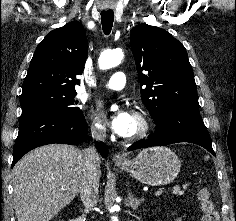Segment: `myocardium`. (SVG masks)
<instances>
[{
    "label": "myocardium",
    "mask_w": 236,
    "mask_h": 221,
    "mask_svg": "<svg viewBox=\"0 0 236 221\" xmlns=\"http://www.w3.org/2000/svg\"><path fill=\"white\" fill-rule=\"evenodd\" d=\"M133 117L138 121L139 128L134 134L125 137V140L130 143L138 142L147 138L152 130V122L145 113L135 111L133 112Z\"/></svg>",
    "instance_id": "obj_1"
}]
</instances>
